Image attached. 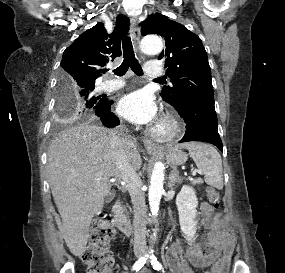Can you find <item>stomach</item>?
I'll use <instances>...</instances> for the list:
<instances>
[{"mask_svg":"<svg viewBox=\"0 0 285 273\" xmlns=\"http://www.w3.org/2000/svg\"><path fill=\"white\" fill-rule=\"evenodd\" d=\"M165 156L173 165H182L187 161V155L179 147L169 148Z\"/></svg>","mask_w":285,"mask_h":273,"instance_id":"stomach-1","label":"stomach"}]
</instances>
